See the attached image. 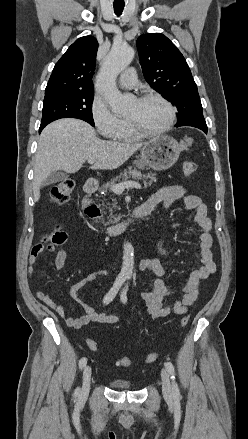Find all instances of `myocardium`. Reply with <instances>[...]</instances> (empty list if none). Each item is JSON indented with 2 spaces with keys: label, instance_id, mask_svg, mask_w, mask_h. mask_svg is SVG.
<instances>
[{
  "label": "myocardium",
  "instance_id": "1",
  "mask_svg": "<svg viewBox=\"0 0 248 439\" xmlns=\"http://www.w3.org/2000/svg\"><path fill=\"white\" fill-rule=\"evenodd\" d=\"M150 99H157L163 102L169 109L170 118L165 127L154 131L146 130L142 128L134 119L127 118V121L131 129L141 137H150V136H158L165 134L173 128L176 122V108L166 97L162 96L159 93L151 92V93H145L137 98V100L140 102Z\"/></svg>",
  "mask_w": 248,
  "mask_h": 439
}]
</instances>
